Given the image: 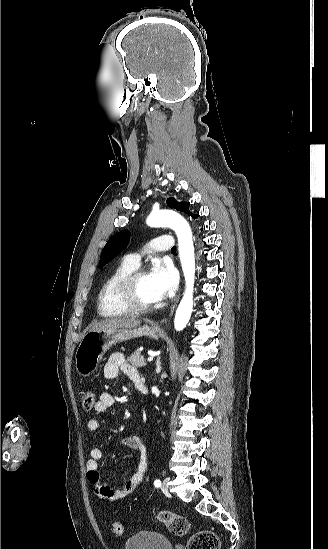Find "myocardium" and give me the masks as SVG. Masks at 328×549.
I'll return each mask as SVG.
<instances>
[{
	"mask_svg": "<svg viewBox=\"0 0 328 549\" xmlns=\"http://www.w3.org/2000/svg\"><path fill=\"white\" fill-rule=\"evenodd\" d=\"M156 263V261L139 263L134 270L126 273L117 281L112 291V296L117 302V305L112 306L115 312L139 317L156 308L157 302L145 303L134 295V286L137 280L148 273L147 267Z\"/></svg>",
	"mask_w": 328,
	"mask_h": 549,
	"instance_id": "f54148a6",
	"label": "myocardium"
}]
</instances>
